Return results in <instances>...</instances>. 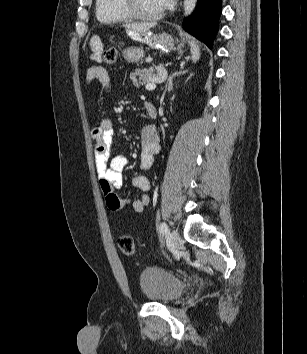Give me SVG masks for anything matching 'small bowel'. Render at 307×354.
<instances>
[{"instance_id": "obj_1", "label": "small bowel", "mask_w": 307, "mask_h": 354, "mask_svg": "<svg viewBox=\"0 0 307 354\" xmlns=\"http://www.w3.org/2000/svg\"><path fill=\"white\" fill-rule=\"evenodd\" d=\"M126 38H137L136 29H127ZM102 44L95 41L91 45V59L96 63L92 65L86 73V81L88 84L97 81L104 91H108L111 87L109 73L105 67L100 65L102 62ZM146 112L150 117L155 116V108L152 105H146ZM114 135L113 123L107 116L103 117L98 126L92 131L95 141V169L99 179L100 188L104 194L106 204L112 211H119L126 205H132L137 213H141L150 203L148 194L151 183L147 177L141 173L133 176V185L140 190L142 194L139 198L131 201L120 197L115 191L120 188L123 183V171L127 166L128 160L126 156L118 154L111 157L110 149ZM141 144V162L140 169L142 171L149 169L155 155L159 152V139L156 128L152 125L145 126L140 133Z\"/></svg>"}]
</instances>
